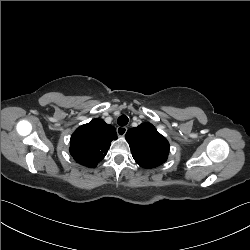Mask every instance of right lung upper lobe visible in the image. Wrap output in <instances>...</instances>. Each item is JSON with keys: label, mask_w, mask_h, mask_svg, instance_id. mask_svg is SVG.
Here are the masks:
<instances>
[{"label": "right lung upper lobe", "mask_w": 250, "mask_h": 250, "mask_svg": "<svg viewBox=\"0 0 250 250\" xmlns=\"http://www.w3.org/2000/svg\"><path fill=\"white\" fill-rule=\"evenodd\" d=\"M117 139L113 126L94 119L76 129L70 140V153L76 162L95 167L108 152L111 141Z\"/></svg>", "instance_id": "1"}]
</instances>
